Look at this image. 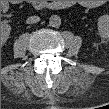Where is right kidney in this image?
Wrapping results in <instances>:
<instances>
[{"instance_id": "ca27d5eb", "label": "right kidney", "mask_w": 109, "mask_h": 109, "mask_svg": "<svg viewBox=\"0 0 109 109\" xmlns=\"http://www.w3.org/2000/svg\"><path fill=\"white\" fill-rule=\"evenodd\" d=\"M11 27L9 25H3L1 30V41L5 43L10 35Z\"/></svg>"}]
</instances>
